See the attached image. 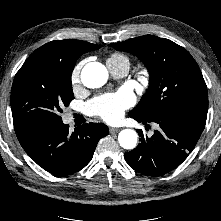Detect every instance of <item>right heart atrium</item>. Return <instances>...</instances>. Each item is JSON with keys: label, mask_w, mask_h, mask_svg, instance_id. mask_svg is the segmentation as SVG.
I'll list each match as a JSON object with an SVG mask.
<instances>
[{"label": "right heart atrium", "mask_w": 221, "mask_h": 221, "mask_svg": "<svg viewBox=\"0 0 221 221\" xmlns=\"http://www.w3.org/2000/svg\"><path fill=\"white\" fill-rule=\"evenodd\" d=\"M81 68H82V63H79L72 70V73H71V83H72L74 88L77 87L78 84L80 83Z\"/></svg>", "instance_id": "1"}]
</instances>
